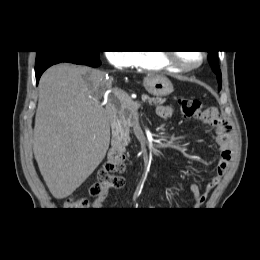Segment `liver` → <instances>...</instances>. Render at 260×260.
Segmentation results:
<instances>
[{"label":"liver","mask_w":260,"mask_h":260,"mask_svg":"<svg viewBox=\"0 0 260 260\" xmlns=\"http://www.w3.org/2000/svg\"><path fill=\"white\" fill-rule=\"evenodd\" d=\"M110 86L104 71L68 63L50 67L40 78L33 153L57 199L71 195L106 155L110 123L99 99Z\"/></svg>","instance_id":"liver-1"}]
</instances>
